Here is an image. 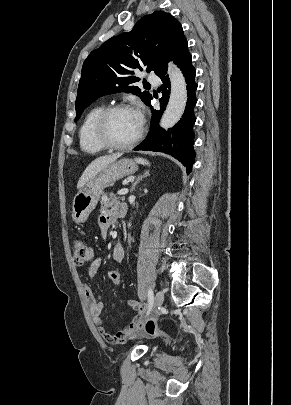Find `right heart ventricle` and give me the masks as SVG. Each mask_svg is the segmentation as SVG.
Instances as JSON below:
<instances>
[{
	"label": "right heart ventricle",
	"mask_w": 291,
	"mask_h": 405,
	"mask_svg": "<svg viewBox=\"0 0 291 405\" xmlns=\"http://www.w3.org/2000/svg\"><path fill=\"white\" fill-rule=\"evenodd\" d=\"M103 109V105L94 106L85 114L80 124L78 131L79 145L81 150L85 153L97 154L106 149L97 141L94 135L96 119Z\"/></svg>",
	"instance_id": "1"
}]
</instances>
